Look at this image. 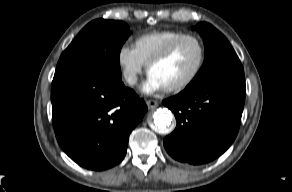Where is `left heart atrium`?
Returning <instances> with one entry per match:
<instances>
[{
  "mask_svg": "<svg viewBox=\"0 0 292 192\" xmlns=\"http://www.w3.org/2000/svg\"><path fill=\"white\" fill-rule=\"evenodd\" d=\"M165 87L163 86V84L152 74H148L147 79L145 80V82L142 85V90L145 93H155L158 91L163 90Z\"/></svg>",
  "mask_w": 292,
  "mask_h": 192,
  "instance_id": "left-heart-atrium-1",
  "label": "left heart atrium"
}]
</instances>
